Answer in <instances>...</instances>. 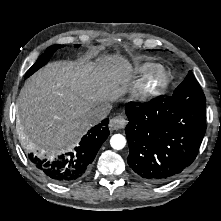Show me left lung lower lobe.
Listing matches in <instances>:
<instances>
[{"label": "left lung lower lobe", "mask_w": 221, "mask_h": 221, "mask_svg": "<svg viewBox=\"0 0 221 221\" xmlns=\"http://www.w3.org/2000/svg\"><path fill=\"white\" fill-rule=\"evenodd\" d=\"M125 128L130 168L151 183L171 180L197 156L206 132V103L159 96L128 103Z\"/></svg>", "instance_id": "1"}]
</instances>
